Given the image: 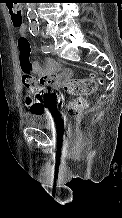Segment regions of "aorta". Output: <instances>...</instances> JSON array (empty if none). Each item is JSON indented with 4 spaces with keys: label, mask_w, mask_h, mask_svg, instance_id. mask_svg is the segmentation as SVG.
<instances>
[{
    "label": "aorta",
    "mask_w": 122,
    "mask_h": 218,
    "mask_svg": "<svg viewBox=\"0 0 122 218\" xmlns=\"http://www.w3.org/2000/svg\"><path fill=\"white\" fill-rule=\"evenodd\" d=\"M27 18L29 22V29L31 31H37L38 30V16L35 9V3H28L27 4Z\"/></svg>",
    "instance_id": "obj_1"
}]
</instances>
